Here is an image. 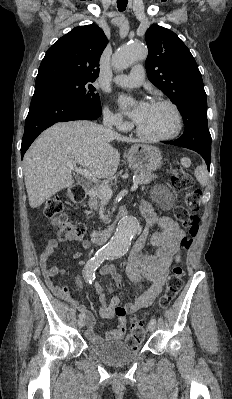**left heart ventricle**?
Instances as JSON below:
<instances>
[{"label":"left heart ventricle","instance_id":"b2bd125f","mask_svg":"<svg viewBox=\"0 0 232 399\" xmlns=\"http://www.w3.org/2000/svg\"><path fill=\"white\" fill-rule=\"evenodd\" d=\"M138 128L146 135L159 137L170 134L176 125L174 111L167 105H148L139 121Z\"/></svg>","mask_w":232,"mask_h":399}]
</instances>
